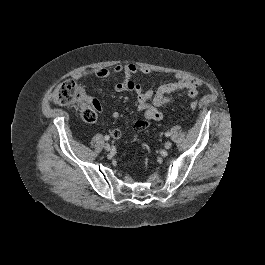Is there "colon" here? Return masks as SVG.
<instances>
[{"instance_id":"obj_1","label":"colon","mask_w":265,"mask_h":265,"mask_svg":"<svg viewBox=\"0 0 265 265\" xmlns=\"http://www.w3.org/2000/svg\"><path fill=\"white\" fill-rule=\"evenodd\" d=\"M50 99L58 105H79L81 116L87 122H94L97 119L99 104L89 101L84 89L74 81H65L58 85L51 92ZM190 107L196 109L197 103L191 102Z\"/></svg>"}]
</instances>
